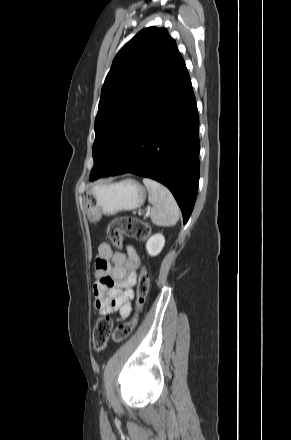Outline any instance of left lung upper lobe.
<instances>
[{"label": "left lung upper lobe", "instance_id": "1", "mask_svg": "<svg viewBox=\"0 0 291 440\" xmlns=\"http://www.w3.org/2000/svg\"><path fill=\"white\" fill-rule=\"evenodd\" d=\"M182 61L165 28L143 29L118 52L102 87L95 119L91 181L102 175L137 119Z\"/></svg>", "mask_w": 291, "mask_h": 440}]
</instances>
